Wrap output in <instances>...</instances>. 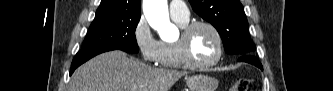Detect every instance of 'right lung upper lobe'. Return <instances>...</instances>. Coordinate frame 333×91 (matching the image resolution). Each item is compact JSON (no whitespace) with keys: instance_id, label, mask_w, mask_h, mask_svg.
<instances>
[{"instance_id":"right-lung-upper-lobe-1","label":"right lung upper lobe","mask_w":333,"mask_h":91,"mask_svg":"<svg viewBox=\"0 0 333 91\" xmlns=\"http://www.w3.org/2000/svg\"><path fill=\"white\" fill-rule=\"evenodd\" d=\"M118 15H141L140 0H102L95 18Z\"/></svg>"}]
</instances>
